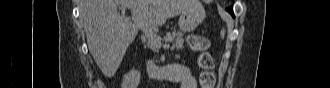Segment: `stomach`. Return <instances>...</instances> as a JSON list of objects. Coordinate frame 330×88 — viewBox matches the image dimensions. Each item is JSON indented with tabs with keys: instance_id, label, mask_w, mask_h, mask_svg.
<instances>
[{
	"instance_id": "0dacf381",
	"label": "stomach",
	"mask_w": 330,
	"mask_h": 88,
	"mask_svg": "<svg viewBox=\"0 0 330 88\" xmlns=\"http://www.w3.org/2000/svg\"><path fill=\"white\" fill-rule=\"evenodd\" d=\"M205 15V9L200 1L192 0L189 9L181 13L178 25L183 32H191L203 22Z\"/></svg>"
}]
</instances>
